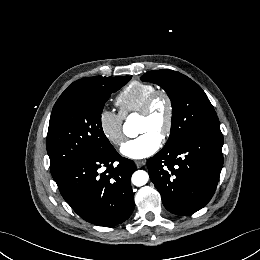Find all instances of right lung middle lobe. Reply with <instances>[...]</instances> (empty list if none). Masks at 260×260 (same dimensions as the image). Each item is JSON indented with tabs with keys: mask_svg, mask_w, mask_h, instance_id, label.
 Here are the masks:
<instances>
[{
	"mask_svg": "<svg viewBox=\"0 0 260 260\" xmlns=\"http://www.w3.org/2000/svg\"><path fill=\"white\" fill-rule=\"evenodd\" d=\"M130 79L108 77L87 95L54 106L47 134L52 175L75 159L101 156L114 148L103 132L101 113L111 93Z\"/></svg>",
	"mask_w": 260,
	"mask_h": 260,
	"instance_id": "1",
	"label": "right lung middle lobe"
}]
</instances>
